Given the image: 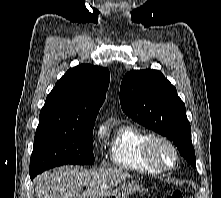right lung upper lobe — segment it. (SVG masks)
Returning <instances> with one entry per match:
<instances>
[{
  "mask_svg": "<svg viewBox=\"0 0 221 198\" xmlns=\"http://www.w3.org/2000/svg\"><path fill=\"white\" fill-rule=\"evenodd\" d=\"M109 81L110 73L103 67L81 64L69 69L47 96L37 129L94 127Z\"/></svg>",
  "mask_w": 221,
  "mask_h": 198,
  "instance_id": "cb5924a9",
  "label": "right lung upper lobe"
}]
</instances>
